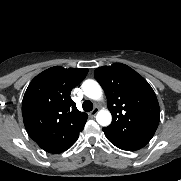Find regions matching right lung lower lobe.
<instances>
[{"label": "right lung lower lobe", "mask_w": 181, "mask_h": 181, "mask_svg": "<svg viewBox=\"0 0 181 181\" xmlns=\"http://www.w3.org/2000/svg\"><path fill=\"white\" fill-rule=\"evenodd\" d=\"M77 139H78V138H77ZM77 139H76V140H77ZM76 140H75V141H76ZM75 141H74L68 148H70V147L75 143ZM68 148H67V149H68ZM67 149H66V150H67ZM64 151H65V150H64ZM60 153H61V152H60Z\"/></svg>", "instance_id": "98d812e1"}]
</instances>
